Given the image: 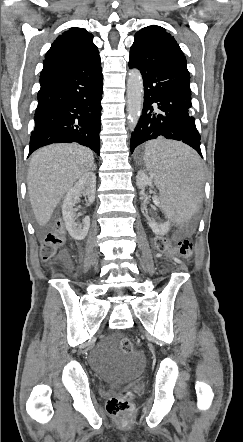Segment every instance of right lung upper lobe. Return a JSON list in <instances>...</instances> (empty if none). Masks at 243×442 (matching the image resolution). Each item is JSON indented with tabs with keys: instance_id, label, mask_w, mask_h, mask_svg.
<instances>
[{
	"instance_id": "cb5924a9",
	"label": "right lung upper lobe",
	"mask_w": 243,
	"mask_h": 442,
	"mask_svg": "<svg viewBox=\"0 0 243 442\" xmlns=\"http://www.w3.org/2000/svg\"><path fill=\"white\" fill-rule=\"evenodd\" d=\"M93 35L83 28L73 27L62 33L45 55L41 73L81 63L99 55L92 42Z\"/></svg>"
}]
</instances>
